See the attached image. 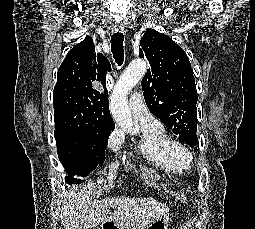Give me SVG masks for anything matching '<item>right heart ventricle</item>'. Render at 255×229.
Here are the masks:
<instances>
[{"mask_svg": "<svg viewBox=\"0 0 255 229\" xmlns=\"http://www.w3.org/2000/svg\"><path fill=\"white\" fill-rule=\"evenodd\" d=\"M139 126L142 136L136 149L140 157L166 172L181 173L187 170L188 165L179 163L165 152L164 147L171 139L161 123L155 127Z\"/></svg>", "mask_w": 255, "mask_h": 229, "instance_id": "obj_1", "label": "right heart ventricle"}]
</instances>
